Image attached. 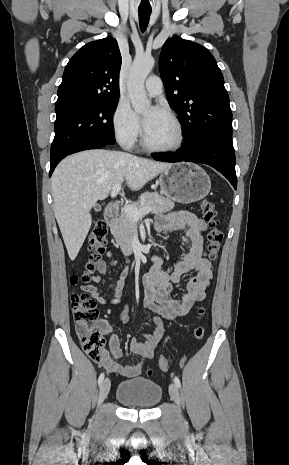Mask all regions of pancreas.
I'll return each instance as SVG.
<instances>
[{
	"instance_id": "obj_1",
	"label": "pancreas",
	"mask_w": 289,
	"mask_h": 465,
	"mask_svg": "<svg viewBox=\"0 0 289 465\" xmlns=\"http://www.w3.org/2000/svg\"><path fill=\"white\" fill-rule=\"evenodd\" d=\"M131 206L137 209L151 207V213L161 214L171 211L175 204L171 199L165 198L156 192H147L141 195L139 201L131 204ZM136 232L137 221L131 220L123 210L121 216L114 222L111 228V233L117 242V246L123 252H132V241Z\"/></svg>"
}]
</instances>
